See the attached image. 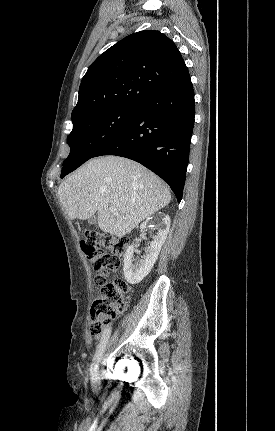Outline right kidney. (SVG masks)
Masks as SVG:
<instances>
[{
  "label": "right kidney",
  "instance_id": "obj_1",
  "mask_svg": "<svg viewBox=\"0 0 275 431\" xmlns=\"http://www.w3.org/2000/svg\"><path fill=\"white\" fill-rule=\"evenodd\" d=\"M170 217L165 215L163 218V223L165 228H159L157 235L153 237V241L150 242V246L146 250V254L140 260H135L133 258L134 254V243L128 247L124 256V276L128 283L130 284H138L146 277L151 269L153 268L158 255L160 253L161 247L164 244L167 234L170 228ZM149 221L146 220L140 226L142 230L149 227ZM136 242H139L140 239H135ZM133 261L135 263L133 264Z\"/></svg>",
  "mask_w": 275,
  "mask_h": 431
}]
</instances>
